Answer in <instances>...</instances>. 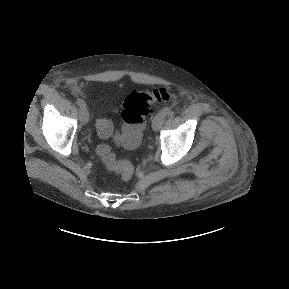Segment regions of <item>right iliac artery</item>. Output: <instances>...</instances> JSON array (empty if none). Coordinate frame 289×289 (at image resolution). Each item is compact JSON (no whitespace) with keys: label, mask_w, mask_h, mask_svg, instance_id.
<instances>
[{"label":"right iliac artery","mask_w":289,"mask_h":289,"mask_svg":"<svg viewBox=\"0 0 289 289\" xmlns=\"http://www.w3.org/2000/svg\"><path fill=\"white\" fill-rule=\"evenodd\" d=\"M77 104L80 106V107H85L86 106V103H85V101L84 100H82V99H77Z\"/></svg>","instance_id":"right-iliac-artery-1"}]
</instances>
